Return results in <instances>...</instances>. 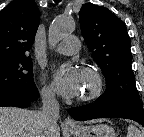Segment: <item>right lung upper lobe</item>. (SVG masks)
I'll return each instance as SVG.
<instances>
[{
  "label": "right lung upper lobe",
  "mask_w": 144,
  "mask_h": 137,
  "mask_svg": "<svg viewBox=\"0 0 144 137\" xmlns=\"http://www.w3.org/2000/svg\"><path fill=\"white\" fill-rule=\"evenodd\" d=\"M39 23L34 0H14L0 11V63L28 56Z\"/></svg>",
  "instance_id": "right-lung-upper-lobe-1"
}]
</instances>
